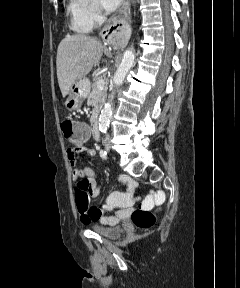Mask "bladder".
I'll return each instance as SVG.
<instances>
[{"label": "bladder", "mask_w": 240, "mask_h": 288, "mask_svg": "<svg viewBox=\"0 0 240 288\" xmlns=\"http://www.w3.org/2000/svg\"><path fill=\"white\" fill-rule=\"evenodd\" d=\"M91 229L100 236L107 237L110 239H115L120 235V229L115 226H106L98 224L94 225Z\"/></svg>", "instance_id": "bladder-1"}]
</instances>
